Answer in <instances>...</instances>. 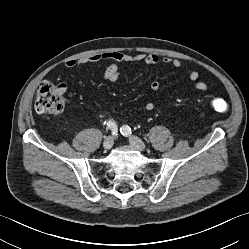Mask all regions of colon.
I'll use <instances>...</instances> for the list:
<instances>
[{
  "instance_id": "obj_1",
  "label": "colon",
  "mask_w": 249,
  "mask_h": 249,
  "mask_svg": "<svg viewBox=\"0 0 249 249\" xmlns=\"http://www.w3.org/2000/svg\"><path fill=\"white\" fill-rule=\"evenodd\" d=\"M211 108L216 112H225L228 104L225 100L214 97L210 102ZM65 107L62 84L55 85L50 81H44L38 88L34 108L41 114H60Z\"/></svg>"
}]
</instances>
